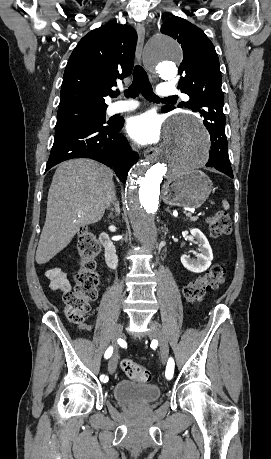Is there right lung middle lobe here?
I'll return each mask as SVG.
<instances>
[{"label":"right lung middle lobe","instance_id":"obj_1","mask_svg":"<svg viewBox=\"0 0 271 459\" xmlns=\"http://www.w3.org/2000/svg\"><path fill=\"white\" fill-rule=\"evenodd\" d=\"M107 106L86 105L66 111H58L55 133L80 125H111L114 120L106 121Z\"/></svg>","mask_w":271,"mask_h":459}]
</instances>
